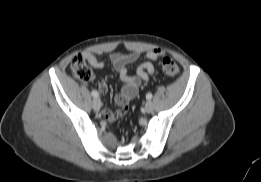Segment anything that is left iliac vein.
Segmentation results:
<instances>
[{
  "label": "left iliac vein",
  "instance_id": "4c4485c4",
  "mask_svg": "<svg viewBox=\"0 0 261 182\" xmlns=\"http://www.w3.org/2000/svg\"><path fill=\"white\" fill-rule=\"evenodd\" d=\"M145 111L147 112V113H151L152 111H153V109H154V107H153V104H152V102H150V101H148L146 104H145Z\"/></svg>",
  "mask_w": 261,
  "mask_h": 182
}]
</instances>
